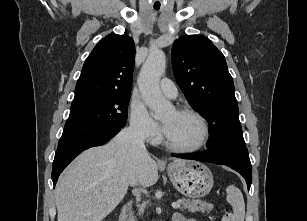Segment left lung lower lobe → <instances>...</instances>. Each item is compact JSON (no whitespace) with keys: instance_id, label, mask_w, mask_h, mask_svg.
<instances>
[{"instance_id":"0a47b994","label":"left lung lower lobe","mask_w":307,"mask_h":221,"mask_svg":"<svg viewBox=\"0 0 307 221\" xmlns=\"http://www.w3.org/2000/svg\"><path fill=\"white\" fill-rule=\"evenodd\" d=\"M172 156L183 159H192L203 162H210L214 164L226 165L239 172L245 178L248 190L250 189L252 183V166L249 155H245L233 149L219 147L215 149H208L205 151L196 152L193 154H172Z\"/></svg>"}]
</instances>
